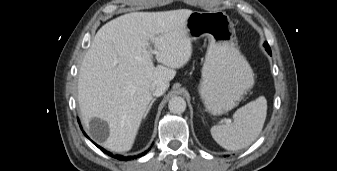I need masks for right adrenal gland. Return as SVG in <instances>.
<instances>
[{"label":"right adrenal gland","instance_id":"right-adrenal-gland-1","mask_svg":"<svg viewBox=\"0 0 337 171\" xmlns=\"http://www.w3.org/2000/svg\"><path fill=\"white\" fill-rule=\"evenodd\" d=\"M155 100H156L155 98L152 99L151 103L149 104V106H148V108L146 110V113L144 114V118L147 116V114L150 111V109H151V107H152V105H153V103H154Z\"/></svg>","mask_w":337,"mask_h":171}]
</instances>
